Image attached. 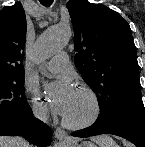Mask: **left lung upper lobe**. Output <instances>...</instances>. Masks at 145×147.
Instances as JSON below:
<instances>
[{
	"mask_svg": "<svg viewBox=\"0 0 145 147\" xmlns=\"http://www.w3.org/2000/svg\"><path fill=\"white\" fill-rule=\"evenodd\" d=\"M75 66L95 92L104 126L122 114L144 108L136 47L128 22L114 10L87 0H70Z\"/></svg>",
	"mask_w": 145,
	"mask_h": 147,
	"instance_id": "5c2ea615",
	"label": "left lung upper lobe"
}]
</instances>
